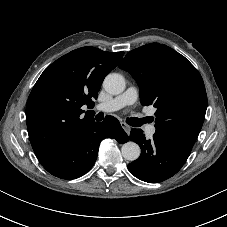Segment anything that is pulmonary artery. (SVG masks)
<instances>
[{
  "label": "pulmonary artery",
  "instance_id": "obj_1",
  "mask_svg": "<svg viewBox=\"0 0 227 227\" xmlns=\"http://www.w3.org/2000/svg\"><path fill=\"white\" fill-rule=\"evenodd\" d=\"M138 99V90L135 87L127 88L121 95L114 99L97 105V109L103 112L117 111L125 106L133 105ZM156 128L154 125H148L145 132L148 136L154 135Z\"/></svg>",
  "mask_w": 227,
  "mask_h": 227
}]
</instances>
